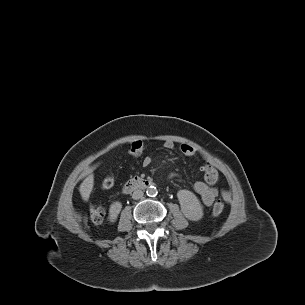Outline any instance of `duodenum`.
Listing matches in <instances>:
<instances>
[{"label":"duodenum","mask_w":305,"mask_h":305,"mask_svg":"<svg viewBox=\"0 0 305 305\" xmlns=\"http://www.w3.org/2000/svg\"><path fill=\"white\" fill-rule=\"evenodd\" d=\"M154 185V182L146 178H133L123 185V192L128 194L137 189H146Z\"/></svg>","instance_id":"1"}]
</instances>
